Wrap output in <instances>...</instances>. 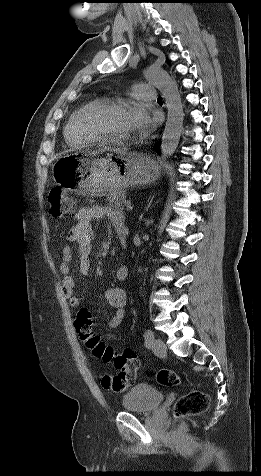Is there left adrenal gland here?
I'll use <instances>...</instances> for the list:
<instances>
[{
  "instance_id": "a2214340",
  "label": "left adrenal gland",
  "mask_w": 261,
  "mask_h": 476,
  "mask_svg": "<svg viewBox=\"0 0 261 476\" xmlns=\"http://www.w3.org/2000/svg\"><path fill=\"white\" fill-rule=\"evenodd\" d=\"M152 200H153V197L151 198V200L149 201L147 207H146V211H148V209L151 207V203H152Z\"/></svg>"
}]
</instances>
